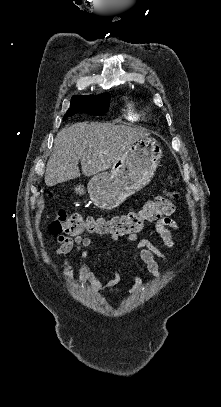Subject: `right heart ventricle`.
Here are the masks:
<instances>
[{"mask_svg":"<svg viewBox=\"0 0 221 407\" xmlns=\"http://www.w3.org/2000/svg\"><path fill=\"white\" fill-rule=\"evenodd\" d=\"M127 117L132 121L141 120L144 118V109L135 102H131L127 106Z\"/></svg>","mask_w":221,"mask_h":407,"instance_id":"right-heart-ventricle-1","label":"right heart ventricle"}]
</instances>
